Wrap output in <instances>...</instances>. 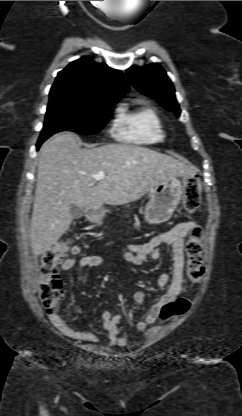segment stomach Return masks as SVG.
Listing matches in <instances>:
<instances>
[{
	"label": "stomach",
	"instance_id": "obj_1",
	"mask_svg": "<svg viewBox=\"0 0 242 416\" xmlns=\"http://www.w3.org/2000/svg\"><path fill=\"white\" fill-rule=\"evenodd\" d=\"M186 179V177L181 178V176L171 177L153 187L150 191V200L144 212V218L147 223L160 224L171 218L181 201ZM103 217L104 212L100 210L89 215L88 218L92 222L101 225Z\"/></svg>",
	"mask_w": 242,
	"mask_h": 416
}]
</instances>
